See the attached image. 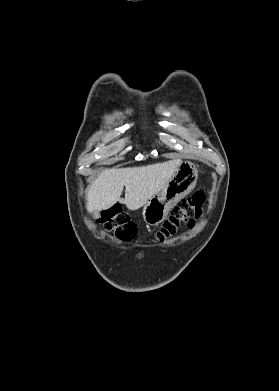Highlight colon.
Instances as JSON below:
<instances>
[{
    "instance_id": "obj_1",
    "label": "colon",
    "mask_w": 279,
    "mask_h": 391,
    "mask_svg": "<svg viewBox=\"0 0 279 391\" xmlns=\"http://www.w3.org/2000/svg\"><path fill=\"white\" fill-rule=\"evenodd\" d=\"M204 203L205 195L202 191L195 192L190 197L181 200L154 235V240H166L176 234L181 225L191 223L193 218L201 216ZM97 222L107 231L114 233L120 240H132L137 234L135 224L120 207H112L104 211Z\"/></svg>"
}]
</instances>
